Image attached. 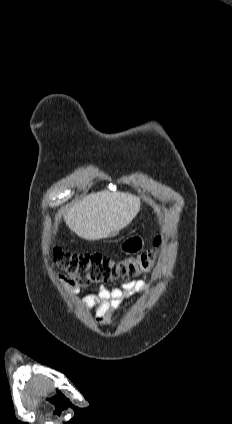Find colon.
<instances>
[{
	"instance_id": "5ec220e1",
	"label": "colon",
	"mask_w": 232,
	"mask_h": 424,
	"mask_svg": "<svg viewBox=\"0 0 232 424\" xmlns=\"http://www.w3.org/2000/svg\"><path fill=\"white\" fill-rule=\"evenodd\" d=\"M161 246L162 240L157 238L153 249L120 260L102 253L76 254L55 248L53 258L63 281L73 288H81L148 273L156 265Z\"/></svg>"
}]
</instances>
